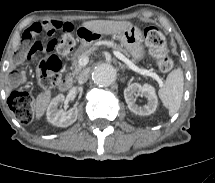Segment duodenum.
Segmentation results:
<instances>
[{
    "mask_svg": "<svg viewBox=\"0 0 215 183\" xmlns=\"http://www.w3.org/2000/svg\"><path fill=\"white\" fill-rule=\"evenodd\" d=\"M72 80L70 78L64 79L59 83V89L61 91H67L72 87Z\"/></svg>",
    "mask_w": 215,
    "mask_h": 183,
    "instance_id": "1",
    "label": "duodenum"
}]
</instances>
